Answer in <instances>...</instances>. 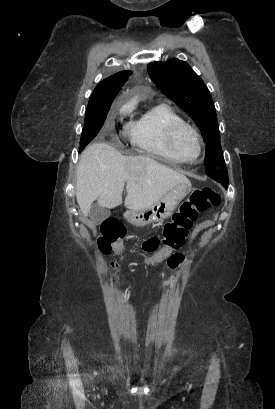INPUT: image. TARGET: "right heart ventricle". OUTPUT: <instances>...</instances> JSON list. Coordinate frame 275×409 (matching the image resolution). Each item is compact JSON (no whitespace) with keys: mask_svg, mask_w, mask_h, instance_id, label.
I'll list each match as a JSON object with an SVG mask.
<instances>
[{"mask_svg":"<svg viewBox=\"0 0 275 409\" xmlns=\"http://www.w3.org/2000/svg\"><path fill=\"white\" fill-rule=\"evenodd\" d=\"M180 122L183 120L170 106L154 107L126 127L133 151L152 157H172L168 135L171 127Z\"/></svg>","mask_w":275,"mask_h":409,"instance_id":"right-heart-ventricle-1","label":"right heart ventricle"}]
</instances>
